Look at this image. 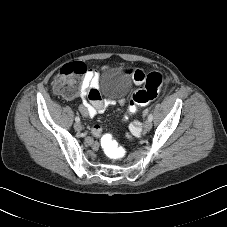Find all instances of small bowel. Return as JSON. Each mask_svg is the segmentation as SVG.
Here are the masks:
<instances>
[{
	"label": "small bowel",
	"instance_id": "small-bowel-1",
	"mask_svg": "<svg viewBox=\"0 0 227 227\" xmlns=\"http://www.w3.org/2000/svg\"><path fill=\"white\" fill-rule=\"evenodd\" d=\"M108 67H104V69H107ZM83 72V79H82V90H81V98L83 99V102L79 106V111L85 118H92L96 116L97 114L101 113L106 108V102L99 97L97 101H87L86 97L89 96L90 91L92 89L98 90V83H99V72L96 69L93 68H87L84 67ZM136 71H141L138 69H133L132 73ZM143 78L139 81L134 80V82L137 85H140L144 77L146 76L143 71ZM70 99V97H67ZM131 132L134 136H138L140 133V126L138 123H134L130 127ZM102 136V130L99 125H95L92 128V137L87 138V144L94 150H97L99 148V142L98 138Z\"/></svg>",
	"mask_w": 227,
	"mask_h": 227
}]
</instances>
